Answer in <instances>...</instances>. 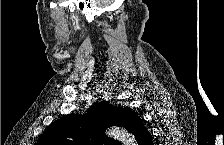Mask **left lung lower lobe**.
Listing matches in <instances>:
<instances>
[{
	"mask_svg": "<svg viewBox=\"0 0 224 145\" xmlns=\"http://www.w3.org/2000/svg\"><path fill=\"white\" fill-rule=\"evenodd\" d=\"M139 145H153L150 132L145 127L142 119L137 115L132 122V131Z\"/></svg>",
	"mask_w": 224,
	"mask_h": 145,
	"instance_id": "0a47b994",
	"label": "left lung lower lobe"
}]
</instances>
